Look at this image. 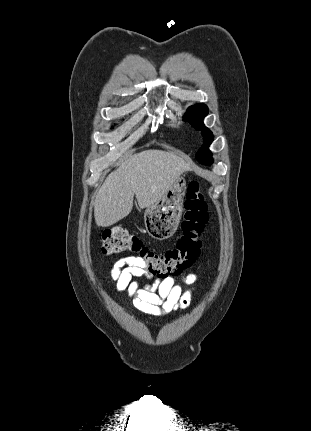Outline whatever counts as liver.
Masks as SVG:
<instances>
[{"label":"liver","mask_w":311,"mask_h":431,"mask_svg":"<svg viewBox=\"0 0 311 431\" xmlns=\"http://www.w3.org/2000/svg\"><path fill=\"white\" fill-rule=\"evenodd\" d=\"M184 172H191L185 160L162 150L133 154L107 176L94 202L97 225L108 227L133 210L134 196L139 208L159 202Z\"/></svg>","instance_id":"1"}]
</instances>
